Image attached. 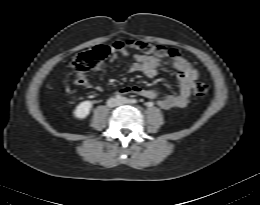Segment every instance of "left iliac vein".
Instances as JSON below:
<instances>
[{
  "mask_svg": "<svg viewBox=\"0 0 260 205\" xmlns=\"http://www.w3.org/2000/svg\"><path fill=\"white\" fill-rule=\"evenodd\" d=\"M130 103H131V101L127 98H122V99L118 100L119 105H127V104H130Z\"/></svg>",
  "mask_w": 260,
  "mask_h": 205,
  "instance_id": "left-iliac-vein-1",
  "label": "left iliac vein"
}]
</instances>
